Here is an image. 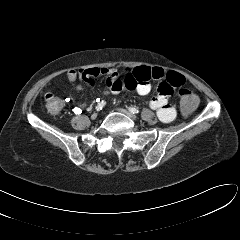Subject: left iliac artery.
<instances>
[{
  "instance_id": "left-iliac-artery-1",
  "label": "left iliac artery",
  "mask_w": 240,
  "mask_h": 240,
  "mask_svg": "<svg viewBox=\"0 0 240 240\" xmlns=\"http://www.w3.org/2000/svg\"><path fill=\"white\" fill-rule=\"evenodd\" d=\"M129 111H130L131 113H133V114L139 113V109L136 108V107H129Z\"/></svg>"
}]
</instances>
